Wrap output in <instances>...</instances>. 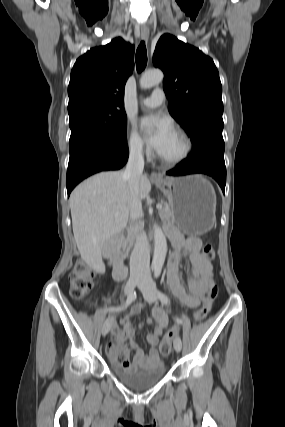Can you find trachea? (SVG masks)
<instances>
[{"label": "trachea", "mask_w": 285, "mask_h": 427, "mask_svg": "<svg viewBox=\"0 0 285 427\" xmlns=\"http://www.w3.org/2000/svg\"><path fill=\"white\" fill-rule=\"evenodd\" d=\"M147 64V51L145 43L142 41L140 45L137 48L136 51V68L137 71L140 73L143 71Z\"/></svg>", "instance_id": "3493384b"}]
</instances>
